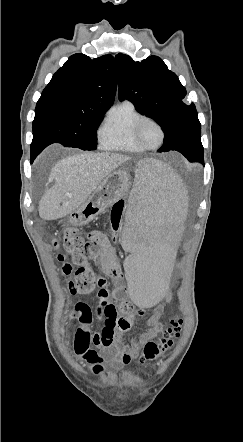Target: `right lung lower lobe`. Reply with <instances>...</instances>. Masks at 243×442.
Segmentation results:
<instances>
[{"label": "right lung lower lobe", "mask_w": 243, "mask_h": 442, "mask_svg": "<svg viewBox=\"0 0 243 442\" xmlns=\"http://www.w3.org/2000/svg\"><path fill=\"white\" fill-rule=\"evenodd\" d=\"M48 145H49L48 143L34 144L32 142V144H31V160L33 161L35 159V157Z\"/></svg>", "instance_id": "right-lung-lower-lobe-1"}]
</instances>
